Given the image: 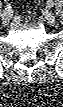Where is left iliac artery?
<instances>
[{
	"mask_svg": "<svg viewBox=\"0 0 63 107\" xmlns=\"http://www.w3.org/2000/svg\"><path fill=\"white\" fill-rule=\"evenodd\" d=\"M53 4H54V2H53L52 0H48V1H47V5H48L49 7H52Z\"/></svg>",
	"mask_w": 63,
	"mask_h": 107,
	"instance_id": "obj_1",
	"label": "left iliac artery"
}]
</instances>
